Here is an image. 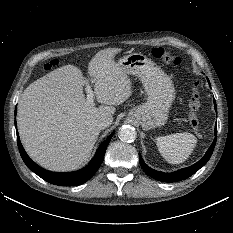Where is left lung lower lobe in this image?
I'll use <instances>...</instances> for the list:
<instances>
[{"label":"left lung lower lobe","instance_id":"left-lung-lower-lobe-1","mask_svg":"<svg viewBox=\"0 0 233 233\" xmlns=\"http://www.w3.org/2000/svg\"><path fill=\"white\" fill-rule=\"evenodd\" d=\"M214 105H215L214 106L215 110L217 111L215 100H214ZM216 137H217V128L215 127V139H214L212 145L210 146V148L208 149V151L206 152V154L204 155V157L199 162L195 163L194 165H192L190 167L178 170V171L173 172V173L165 174L163 172H159V171H156V170L148 167L145 164L144 160L142 159L141 154L139 153L140 165L143 168V170L149 176H151L152 178H154L155 180H159V181H163V182H177V181L184 180V179L190 177L191 175H193L194 173H196L210 159V157H211V155L213 153L214 147H215Z\"/></svg>","mask_w":233,"mask_h":233}]
</instances>
